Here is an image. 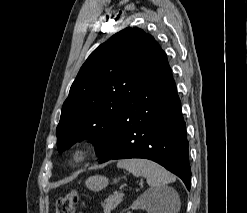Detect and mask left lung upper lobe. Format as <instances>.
Masks as SVG:
<instances>
[{"label": "left lung upper lobe", "mask_w": 247, "mask_h": 213, "mask_svg": "<svg viewBox=\"0 0 247 213\" xmlns=\"http://www.w3.org/2000/svg\"><path fill=\"white\" fill-rule=\"evenodd\" d=\"M165 59L155 39L139 28H125L95 49L62 106L56 130L58 151L89 139L100 157L126 101L136 95L146 71Z\"/></svg>", "instance_id": "obj_1"}]
</instances>
